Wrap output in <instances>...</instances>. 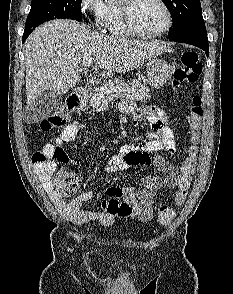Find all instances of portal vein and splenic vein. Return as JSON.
Here are the masks:
<instances>
[{
  "label": "portal vein and splenic vein",
  "instance_id": "18ae733b",
  "mask_svg": "<svg viewBox=\"0 0 233 294\" xmlns=\"http://www.w3.org/2000/svg\"><path fill=\"white\" fill-rule=\"evenodd\" d=\"M82 66L84 67H90L93 64V60L90 58H86L82 61ZM117 93V91H115Z\"/></svg>",
  "mask_w": 233,
  "mask_h": 294
}]
</instances>
